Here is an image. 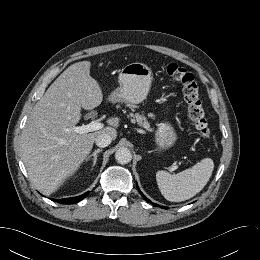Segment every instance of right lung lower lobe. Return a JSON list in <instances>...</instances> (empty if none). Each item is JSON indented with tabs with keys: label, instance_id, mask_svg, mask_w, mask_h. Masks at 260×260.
Returning <instances> with one entry per match:
<instances>
[{
	"label": "right lung lower lobe",
	"instance_id": "98d812e1",
	"mask_svg": "<svg viewBox=\"0 0 260 260\" xmlns=\"http://www.w3.org/2000/svg\"><path fill=\"white\" fill-rule=\"evenodd\" d=\"M89 192H86L85 194L83 195H80V196H77V197H73V198H65V199H52L56 202H59V203H62V204H75L77 203L78 201L84 199L87 195H88Z\"/></svg>",
	"mask_w": 260,
	"mask_h": 260
}]
</instances>
